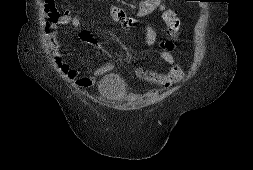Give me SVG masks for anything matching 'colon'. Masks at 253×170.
Masks as SVG:
<instances>
[{"instance_id": "1", "label": "colon", "mask_w": 253, "mask_h": 170, "mask_svg": "<svg viewBox=\"0 0 253 170\" xmlns=\"http://www.w3.org/2000/svg\"><path fill=\"white\" fill-rule=\"evenodd\" d=\"M47 2L50 4V9L48 10L49 19H50L49 23L53 24L54 22H56L60 18L61 14L58 11V9L56 8L54 0H47ZM173 24H174V26L179 25L177 20L174 21Z\"/></svg>"}]
</instances>
